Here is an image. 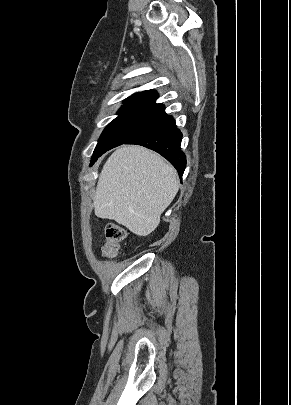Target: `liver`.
<instances>
[{"label": "liver", "mask_w": 291, "mask_h": 405, "mask_svg": "<svg viewBox=\"0 0 291 405\" xmlns=\"http://www.w3.org/2000/svg\"><path fill=\"white\" fill-rule=\"evenodd\" d=\"M178 188L176 170L159 154L123 146L103 166L94 196L95 215L147 236L159 225Z\"/></svg>", "instance_id": "liver-1"}]
</instances>
